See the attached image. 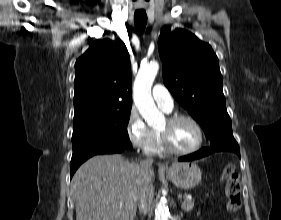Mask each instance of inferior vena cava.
Wrapping results in <instances>:
<instances>
[{
  "instance_id": "602c4592",
  "label": "inferior vena cava",
  "mask_w": 281,
  "mask_h": 220,
  "mask_svg": "<svg viewBox=\"0 0 281 220\" xmlns=\"http://www.w3.org/2000/svg\"><path fill=\"white\" fill-rule=\"evenodd\" d=\"M142 166L152 164V159H146L140 161ZM154 196V188L152 186L143 185L138 188L137 203L139 211L143 214L150 212Z\"/></svg>"
}]
</instances>
